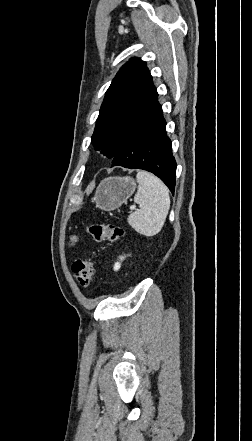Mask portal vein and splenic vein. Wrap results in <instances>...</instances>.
I'll list each match as a JSON object with an SVG mask.
<instances>
[{
  "instance_id": "obj_1",
  "label": "portal vein and splenic vein",
  "mask_w": 252,
  "mask_h": 441,
  "mask_svg": "<svg viewBox=\"0 0 252 441\" xmlns=\"http://www.w3.org/2000/svg\"><path fill=\"white\" fill-rule=\"evenodd\" d=\"M135 209V206H131L130 207V210L132 211V210H134Z\"/></svg>"
}]
</instances>
